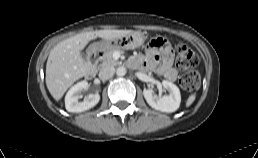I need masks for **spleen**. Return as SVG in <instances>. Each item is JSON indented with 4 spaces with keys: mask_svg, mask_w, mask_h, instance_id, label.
<instances>
[{
    "mask_svg": "<svg viewBox=\"0 0 258 158\" xmlns=\"http://www.w3.org/2000/svg\"><path fill=\"white\" fill-rule=\"evenodd\" d=\"M195 98H196L195 94L190 95L186 101V106L189 107L194 102Z\"/></svg>",
    "mask_w": 258,
    "mask_h": 158,
    "instance_id": "3e777b00",
    "label": "spleen"
}]
</instances>
